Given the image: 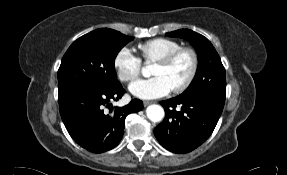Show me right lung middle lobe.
I'll list each match as a JSON object with an SVG mask.
<instances>
[{
  "label": "right lung middle lobe",
  "instance_id": "dd1d6c3e",
  "mask_svg": "<svg viewBox=\"0 0 287 175\" xmlns=\"http://www.w3.org/2000/svg\"><path fill=\"white\" fill-rule=\"evenodd\" d=\"M132 39L108 28L78 38L63 56L58 70V90L77 85L105 90L120 86L114 61Z\"/></svg>",
  "mask_w": 287,
  "mask_h": 175
}]
</instances>
